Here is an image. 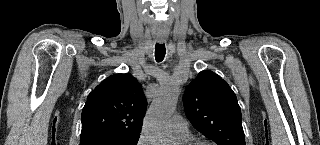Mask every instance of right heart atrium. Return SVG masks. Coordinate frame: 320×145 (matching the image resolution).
<instances>
[{
    "instance_id": "obj_1",
    "label": "right heart atrium",
    "mask_w": 320,
    "mask_h": 145,
    "mask_svg": "<svg viewBox=\"0 0 320 145\" xmlns=\"http://www.w3.org/2000/svg\"><path fill=\"white\" fill-rule=\"evenodd\" d=\"M137 145H150V142L144 134H141L137 140Z\"/></svg>"
}]
</instances>
